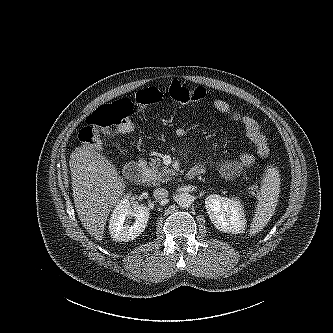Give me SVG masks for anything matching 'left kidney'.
<instances>
[{"instance_id":"5707ae66","label":"left kidney","mask_w":333,"mask_h":333,"mask_svg":"<svg viewBox=\"0 0 333 333\" xmlns=\"http://www.w3.org/2000/svg\"><path fill=\"white\" fill-rule=\"evenodd\" d=\"M205 208L215 228L224 232L238 234L245 229V215L237 197L227 198L212 194L205 199Z\"/></svg>"}]
</instances>
